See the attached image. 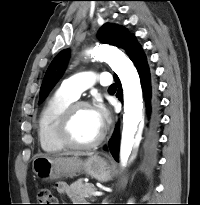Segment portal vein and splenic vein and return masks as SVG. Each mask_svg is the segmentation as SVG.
<instances>
[{"mask_svg":"<svg viewBox=\"0 0 200 205\" xmlns=\"http://www.w3.org/2000/svg\"><path fill=\"white\" fill-rule=\"evenodd\" d=\"M92 195H94V196H101V195H103V192H101V191H94V192H92Z\"/></svg>","mask_w":200,"mask_h":205,"instance_id":"obj_1","label":"portal vein and splenic vein"}]
</instances>
